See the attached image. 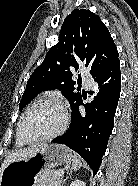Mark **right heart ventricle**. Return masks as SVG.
<instances>
[{"mask_svg": "<svg viewBox=\"0 0 138 186\" xmlns=\"http://www.w3.org/2000/svg\"><path fill=\"white\" fill-rule=\"evenodd\" d=\"M27 143H25V142H23L21 139H20V137H19V135H18V132H16V145L18 146V147H22V146H25Z\"/></svg>", "mask_w": 138, "mask_h": 186, "instance_id": "1", "label": "right heart ventricle"}]
</instances>
